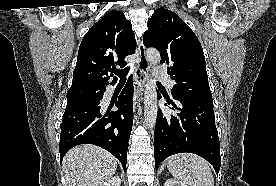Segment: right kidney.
Instances as JSON below:
<instances>
[{
	"label": "right kidney",
	"mask_w": 276,
	"mask_h": 186,
	"mask_svg": "<svg viewBox=\"0 0 276 186\" xmlns=\"http://www.w3.org/2000/svg\"><path fill=\"white\" fill-rule=\"evenodd\" d=\"M102 186H121V179L119 176L111 177L108 181L103 183Z\"/></svg>",
	"instance_id": "1"
}]
</instances>
